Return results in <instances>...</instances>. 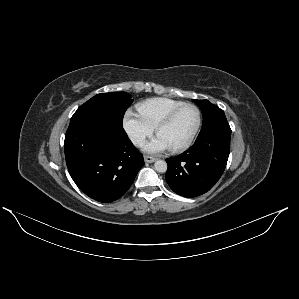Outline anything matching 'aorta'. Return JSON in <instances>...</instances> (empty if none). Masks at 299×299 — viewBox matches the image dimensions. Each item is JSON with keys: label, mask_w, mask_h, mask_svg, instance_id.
I'll use <instances>...</instances> for the list:
<instances>
[{"label": "aorta", "mask_w": 299, "mask_h": 299, "mask_svg": "<svg viewBox=\"0 0 299 299\" xmlns=\"http://www.w3.org/2000/svg\"><path fill=\"white\" fill-rule=\"evenodd\" d=\"M154 169L159 173H164L167 171V163L164 160H157L154 163Z\"/></svg>", "instance_id": "obj_1"}]
</instances>
